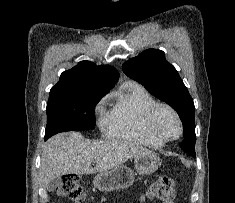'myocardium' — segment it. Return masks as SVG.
<instances>
[{
	"label": "myocardium",
	"mask_w": 235,
	"mask_h": 203,
	"mask_svg": "<svg viewBox=\"0 0 235 203\" xmlns=\"http://www.w3.org/2000/svg\"><path fill=\"white\" fill-rule=\"evenodd\" d=\"M162 110L169 111L174 116L175 120L177 121L178 134L174 137H167V136L161 135L154 128V122L156 120V117L159 114V112ZM145 129H146L147 133L150 136H152L153 138H155L156 140H158L162 143H167V142L175 141L182 136L183 122H182L181 117L178 114V112L172 106H170L168 104H164V103H157L146 114Z\"/></svg>",
	"instance_id": "f54148a6"
}]
</instances>
